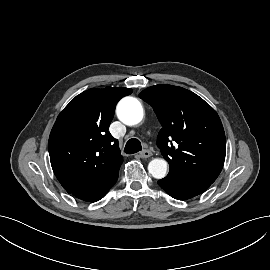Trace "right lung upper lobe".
Returning a JSON list of instances; mask_svg holds the SVG:
<instances>
[{"mask_svg": "<svg viewBox=\"0 0 270 270\" xmlns=\"http://www.w3.org/2000/svg\"><path fill=\"white\" fill-rule=\"evenodd\" d=\"M123 87L92 88L58 115L48 142L53 172L68 193L111 179L123 162L118 140L108 131Z\"/></svg>", "mask_w": 270, "mask_h": 270, "instance_id": "right-lung-upper-lobe-1", "label": "right lung upper lobe"}]
</instances>
